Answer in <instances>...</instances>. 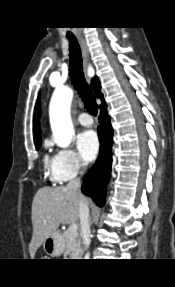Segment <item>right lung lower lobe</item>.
Returning a JSON list of instances; mask_svg holds the SVG:
<instances>
[{
	"label": "right lung lower lobe",
	"instance_id": "right-lung-lower-lobe-1",
	"mask_svg": "<svg viewBox=\"0 0 175 287\" xmlns=\"http://www.w3.org/2000/svg\"><path fill=\"white\" fill-rule=\"evenodd\" d=\"M100 127L98 135L100 152L97 161L84 177L82 193L92 198L97 206L105 204L106 187L109 182L112 164L113 129L107 113V105L100 107Z\"/></svg>",
	"mask_w": 175,
	"mask_h": 287
}]
</instances>
